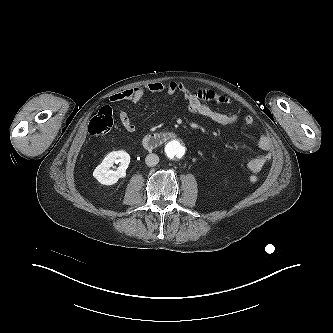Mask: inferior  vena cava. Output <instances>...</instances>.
Returning a JSON list of instances; mask_svg holds the SVG:
<instances>
[{"mask_svg": "<svg viewBox=\"0 0 333 333\" xmlns=\"http://www.w3.org/2000/svg\"><path fill=\"white\" fill-rule=\"evenodd\" d=\"M145 162L149 167L155 166L159 162V157L156 154H148L145 158Z\"/></svg>", "mask_w": 333, "mask_h": 333, "instance_id": "inferior-vena-cava-1", "label": "inferior vena cava"}]
</instances>
